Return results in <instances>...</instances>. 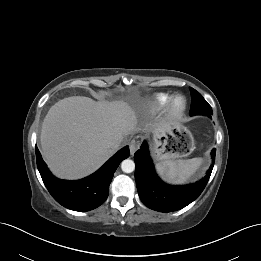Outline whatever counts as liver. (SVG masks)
Masks as SVG:
<instances>
[{
	"label": "liver",
	"instance_id": "obj_1",
	"mask_svg": "<svg viewBox=\"0 0 261 261\" xmlns=\"http://www.w3.org/2000/svg\"><path fill=\"white\" fill-rule=\"evenodd\" d=\"M138 118L135 108L123 100L64 98L49 109L42 124L44 159L57 177H85L115 153L123 136L141 129Z\"/></svg>",
	"mask_w": 261,
	"mask_h": 261
}]
</instances>
